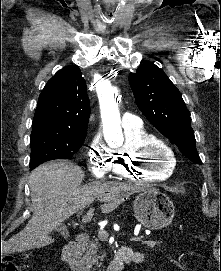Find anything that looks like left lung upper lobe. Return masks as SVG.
Listing matches in <instances>:
<instances>
[{"mask_svg":"<svg viewBox=\"0 0 221 271\" xmlns=\"http://www.w3.org/2000/svg\"><path fill=\"white\" fill-rule=\"evenodd\" d=\"M137 106L164 136L191 161L202 164L196 149L190 113L179 90L164 71L152 62L129 74Z\"/></svg>","mask_w":221,"mask_h":271,"instance_id":"5c2ea615","label":"left lung upper lobe"}]
</instances>
